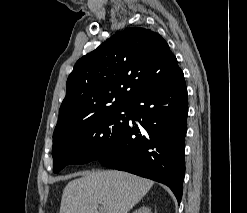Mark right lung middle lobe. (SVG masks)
<instances>
[{
	"label": "right lung middle lobe",
	"instance_id": "obj_1",
	"mask_svg": "<svg viewBox=\"0 0 247 213\" xmlns=\"http://www.w3.org/2000/svg\"><path fill=\"white\" fill-rule=\"evenodd\" d=\"M129 103L110 108L91 120L53 137L54 173L67 164H83L111 149L119 131L128 123Z\"/></svg>",
	"mask_w": 247,
	"mask_h": 213
}]
</instances>
